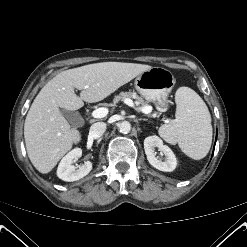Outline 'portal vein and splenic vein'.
Listing matches in <instances>:
<instances>
[{
    "mask_svg": "<svg viewBox=\"0 0 247 247\" xmlns=\"http://www.w3.org/2000/svg\"><path fill=\"white\" fill-rule=\"evenodd\" d=\"M123 101H124V103H125L126 105H128V106H130V107H132V108H135V104H134V102H133L131 99L126 98V99H124ZM108 112H109V111H108L107 108L101 107V108H98V109H96V110H94V111L92 112V117H93V118H103V117H105V116L108 114ZM141 112L147 114V113L150 112V110H146V108H142V109H141Z\"/></svg>",
    "mask_w": 247,
    "mask_h": 247,
    "instance_id": "18ae733b",
    "label": "portal vein and splenic vein"
}]
</instances>
